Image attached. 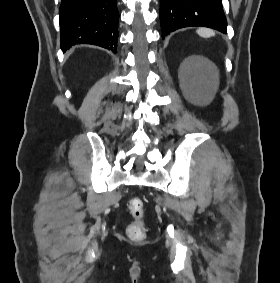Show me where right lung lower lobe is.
<instances>
[{
    "mask_svg": "<svg viewBox=\"0 0 280 283\" xmlns=\"http://www.w3.org/2000/svg\"><path fill=\"white\" fill-rule=\"evenodd\" d=\"M117 0H62L60 44L66 51L76 44H92L116 51L119 14Z\"/></svg>",
    "mask_w": 280,
    "mask_h": 283,
    "instance_id": "1",
    "label": "right lung lower lobe"
}]
</instances>
